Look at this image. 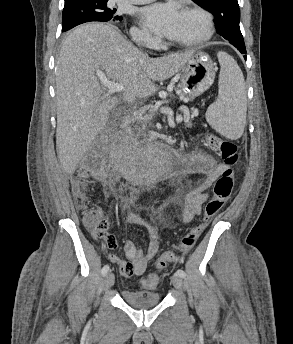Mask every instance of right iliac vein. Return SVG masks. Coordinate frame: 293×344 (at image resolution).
<instances>
[{
  "instance_id": "right-iliac-vein-1",
  "label": "right iliac vein",
  "mask_w": 293,
  "mask_h": 344,
  "mask_svg": "<svg viewBox=\"0 0 293 344\" xmlns=\"http://www.w3.org/2000/svg\"><path fill=\"white\" fill-rule=\"evenodd\" d=\"M114 282H115L114 274L111 272L106 274L105 279H104L105 288L106 289L111 288L114 285Z\"/></svg>"
}]
</instances>
